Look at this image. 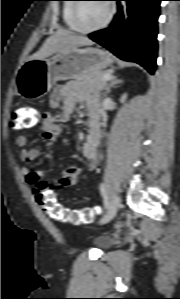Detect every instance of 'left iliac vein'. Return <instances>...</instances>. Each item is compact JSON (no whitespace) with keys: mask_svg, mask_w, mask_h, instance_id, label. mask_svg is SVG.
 Returning a JSON list of instances; mask_svg holds the SVG:
<instances>
[{"mask_svg":"<svg viewBox=\"0 0 180 299\" xmlns=\"http://www.w3.org/2000/svg\"><path fill=\"white\" fill-rule=\"evenodd\" d=\"M119 207H120V197L118 195H115L111 200L106 213L101 218L100 223L105 224L110 220H112L115 217Z\"/></svg>","mask_w":180,"mask_h":299,"instance_id":"left-iliac-vein-1","label":"left iliac vein"}]
</instances>
